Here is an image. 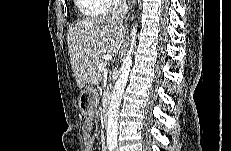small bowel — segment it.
Segmentation results:
<instances>
[{
  "mask_svg": "<svg viewBox=\"0 0 231 151\" xmlns=\"http://www.w3.org/2000/svg\"><path fill=\"white\" fill-rule=\"evenodd\" d=\"M85 151L94 150V139L92 135V119L88 118L83 124Z\"/></svg>",
  "mask_w": 231,
  "mask_h": 151,
  "instance_id": "obj_1",
  "label": "small bowel"
}]
</instances>
